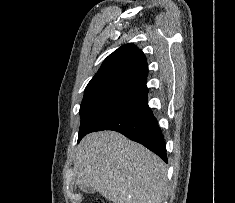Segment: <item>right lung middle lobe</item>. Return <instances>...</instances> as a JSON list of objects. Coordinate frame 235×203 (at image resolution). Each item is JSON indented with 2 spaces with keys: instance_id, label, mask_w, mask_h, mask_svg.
<instances>
[{
  "instance_id": "right-lung-middle-lobe-1",
  "label": "right lung middle lobe",
  "mask_w": 235,
  "mask_h": 203,
  "mask_svg": "<svg viewBox=\"0 0 235 203\" xmlns=\"http://www.w3.org/2000/svg\"><path fill=\"white\" fill-rule=\"evenodd\" d=\"M147 92L148 89L144 86L120 83L85 89L80 106L78 142L103 119L141 99Z\"/></svg>"
}]
</instances>
